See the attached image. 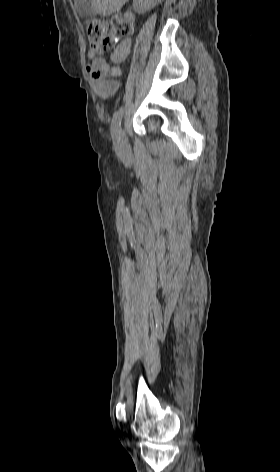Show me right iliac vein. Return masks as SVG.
Listing matches in <instances>:
<instances>
[{"label": "right iliac vein", "instance_id": "right-iliac-vein-1", "mask_svg": "<svg viewBox=\"0 0 280 472\" xmlns=\"http://www.w3.org/2000/svg\"><path fill=\"white\" fill-rule=\"evenodd\" d=\"M118 149L122 157H128L130 155V147L128 145L126 135L124 132H121L120 140L118 143Z\"/></svg>", "mask_w": 280, "mask_h": 472}]
</instances>
